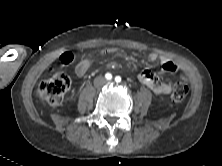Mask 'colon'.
I'll use <instances>...</instances> for the list:
<instances>
[{
  "instance_id": "obj_1",
  "label": "colon",
  "mask_w": 222,
  "mask_h": 166,
  "mask_svg": "<svg viewBox=\"0 0 222 166\" xmlns=\"http://www.w3.org/2000/svg\"><path fill=\"white\" fill-rule=\"evenodd\" d=\"M73 59V54L64 53L60 57V62L63 66H66L69 65ZM69 87V77L62 72H58L49 79L40 83L38 87V94L50 107L55 108L64 102ZM188 91L189 88L187 84L183 82L176 83L172 91L173 100L177 102L184 100L188 94Z\"/></svg>"
}]
</instances>
